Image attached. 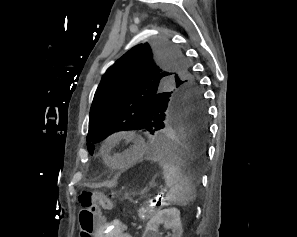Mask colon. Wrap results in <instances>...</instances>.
Listing matches in <instances>:
<instances>
[{
  "mask_svg": "<svg viewBox=\"0 0 297 237\" xmlns=\"http://www.w3.org/2000/svg\"><path fill=\"white\" fill-rule=\"evenodd\" d=\"M81 206L79 212L80 237H96L101 221L100 211L113 207V196L100 192L83 191L79 195Z\"/></svg>",
  "mask_w": 297,
  "mask_h": 237,
  "instance_id": "5ec220e1",
  "label": "colon"
}]
</instances>
